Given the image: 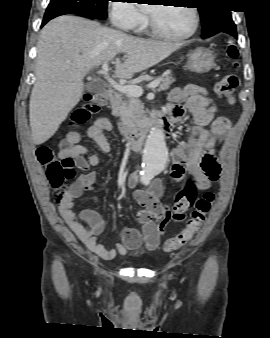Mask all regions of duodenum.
<instances>
[{"instance_id":"duodenum-1","label":"duodenum","mask_w":270,"mask_h":338,"mask_svg":"<svg viewBox=\"0 0 270 338\" xmlns=\"http://www.w3.org/2000/svg\"><path fill=\"white\" fill-rule=\"evenodd\" d=\"M107 95L111 105L117 106L119 104L120 95L118 91H116L115 89H109ZM121 127L123 131L128 134L129 129L123 122H121ZM153 127H158L163 134H171L172 132L171 123L168 117L162 112H157L153 115L152 119L149 122L142 123L136 129V135L134 140V147L136 150H140L143 147L147 134Z\"/></svg>"}]
</instances>
